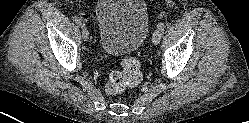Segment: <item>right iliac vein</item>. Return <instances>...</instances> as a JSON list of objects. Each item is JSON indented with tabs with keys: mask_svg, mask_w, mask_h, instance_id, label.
Instances as JSON below:
<instances>
[{
	"mask_svg": "<svg viewBox=\"0 0 249 123\" xmlns=\"http://www.w3.org/2000/svg\"><path fill=\"white\" fill-rule=\"evenodd\" d=\"M82 38L84 41H88L89 39V30L85 26L82 27Z\"/></svg>",
	"mask_w": 249,
	"mask_h": 123,
	"instance_id": "63e3f726",
	"label": "right iliac vein"
}]
</instances>
